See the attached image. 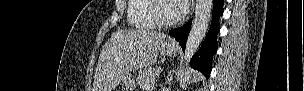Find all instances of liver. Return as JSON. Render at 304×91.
I'll return each instance as SVG.
<instances>
[{"mask_svg": "<svg viewBox=\"0 0 304 91\" xmlns=\"http://www.w3.org/2000/svg\"><path fill=\"white\" fill-rule=\"evenodd\" d=\"M165 38L150 30L116 31L101 50L92 91H113L130 72L152 66Z\"/></svg>", "mask_w": 304, "mask_h": 91, "instance_id": "1", "label": "liver"}]
</instances>
